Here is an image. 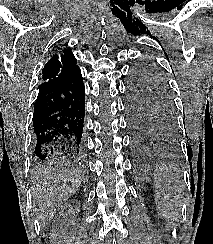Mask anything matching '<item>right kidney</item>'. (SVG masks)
Wrapping results in <instances>:
<instances>
[{
	"mask_svg": "<svg viewBox=\"0 0 213 244\" xmlns=\"http://www.w3.org/2000/svg\"><path fill=\"white\" fill-rule=\"evenodd\" d=\"M79 206V203L78 202H71V203H68L66 205V209L67 208H77Z\"/></svg>",
	"mask_w": 213,
	"mask_h": 244,
	"instance_id": "ca27d5eb",
	"label": "right kidney"
}]
</instances>
